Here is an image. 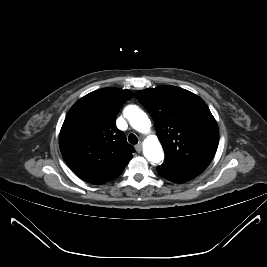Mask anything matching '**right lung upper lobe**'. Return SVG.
I'll return each mask as SVG.
<instances>
[{"label":"right lung upper lobe","instance_id":"cb5924a9","mask_svg":"<svg viewBox=\"0 0 267 267\" xmlns=\"http://www.w3.org/2000/svg\"><path fill=\"white\" fill-rule=\"evenodd\" d=\"M129 90L104 88L79 99L62 125L59 146L73 172L92 184L117 178L135 151L115 124L120 107L133 97Z\"/></svg>","mask_w":267,"mask_h":267}]
</instances>
